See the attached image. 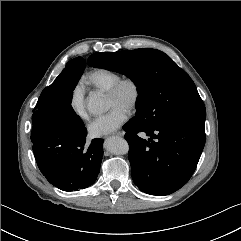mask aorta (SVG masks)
Listing matches in <instances>:
<instances>
[{
	"label": "aorta",
	"instance_id": "762f6f07",
	"mask_svg": "<svg viewBox=\"0 0 241 241\" xmlns=\"http://www.w3.org/2000/svg\"><path fill=\"white\" fill-rule=\"evenodd\" d=\"M87 109L90 113L101 115L107 110L106 99L100 92H93L87 100ZM105 148L115 155H124L129 151L128 142L120 137H110L105 141Z\"/></svg>",
	"mask_w": 241,
	"mask_h": 241
}]
</instances>
